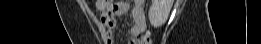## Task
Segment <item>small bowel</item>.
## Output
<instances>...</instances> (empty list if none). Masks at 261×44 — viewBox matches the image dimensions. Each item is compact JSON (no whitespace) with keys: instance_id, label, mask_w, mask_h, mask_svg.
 Wrapping results in <instances>:
<instances>
[{"instance_id":"small-bowel-1","label":"small bowel","mask_w":261,"mask_h":44,"mask_svg":"<svg viewBox=\"0 0 261 44\" xmlns=\"http://www.w3.org/2000/svg\"><path fill=\"white\" fill-rule=\"evenodd\" d=\"M98 11L101 13V25H102V36L107 44L117 43L115 38V29L117 27L116 16L122 15L126 12L124 6H98ZM133 24L130 28L131 39L130 44H137L136 38L142 35L146 29V18L143 9V1L136 0L134 2V7L131 11Z\"/></svg>"}]
</instances>
